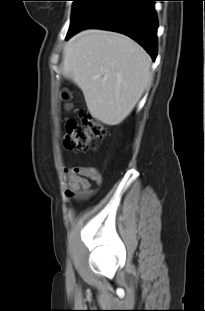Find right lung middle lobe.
I'll return each mask as SVG.
<instances>
[{
    "label": "right lung middle lobe",
    "mask_w": 205,
    "mask_h": 311,
    "mask_svg": "<svg viewBox=\"0 0 205 311\" xmlns=\"http://www.w3.org/2000/svg\"><path fill=\"white\" fill-rule=\"evenodd\" d=\"M73 1H74V5H73V13H72V21H71L70 29H72L73 26L76 24L78 18L83 13L86 5L88 4L90 0H73Z\"/></svg>",
    "instance_id": "1"
}]
</instances>
